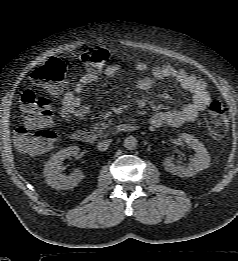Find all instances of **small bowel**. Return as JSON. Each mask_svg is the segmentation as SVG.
Segmentation results:
<instances>
[{
    "mask_svg": "<svg viewBox=\"0 0 238 261\" xmlns=\"http://www.w3.org/2000/svg\"><path fill=\"white\" fill-rule=\"evenodd\" d=\"M121 69L118 64H110L105 67L104 75L113 77ZM149 67L145 62H137L135 70L140 73L148 71ZM98 79L95 72L84 74L75 86L67 91L58 108V117L63 123H71L72 118L84 119L89 115L91 108L84 103L80 94L84 88ZM173 79L191 96L190 102L180 109L160 111L151 118L152 126L159 128L162 126L179 127L185 123L195 121L201 112L209 105L211 97L207 90L206 83L185 70L176 68L169 64L155 65L150 69V76L141 78L137 86L142 91L151 90L158 82Z\"/></svg>",
    "mask_w": 238,
    "mask_h": 261,
    "instance_id": "1",
    "label": "small bowel"
}]
</instances>
